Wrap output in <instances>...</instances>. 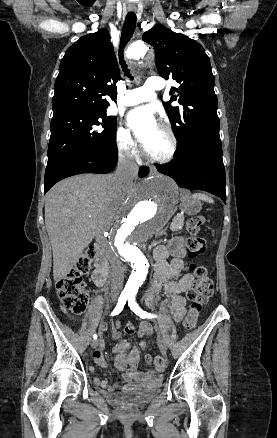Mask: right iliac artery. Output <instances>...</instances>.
Listing matches in <instances>:
<instances>
[{"instance_id":"82829eb1","label":"right iliac artery","mask_w":277,"mask_h":438,"mask_svg":"<svg viewBox=\"0 0 277 438\" xmlns=\"http://www.w3.org/2000/svg\"><path fill=\"white\" fill-rule=\"evenodd\" d=\"M128 299V295L122 294L119 299H118V303L115 307V309L113 310V312L111 313L112 316L114 315H118L124 308V305L126 304V301ZM94 339H97V335L94 334L93 335Z\"/></svg>"}]
</instances>
